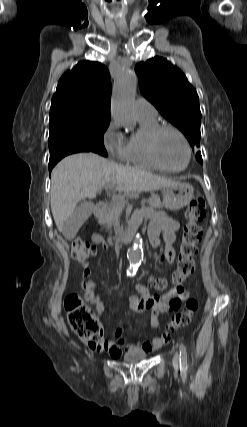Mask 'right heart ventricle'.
<instances>
[{"label":"right heart ventricle","mask_w":247,"mask_h":427,"mask_svg":"<svg viewBox=\"0 0 247 427\" xmlns=\"http://www.w3.org/2000/svg\"><path fill=\"white\" fill-rule=\"evenodd\" d=\"M139 130L126 140L124 161L147 169L158 170L147 148V139L151 131L159 124L155 118H138Z\"/></svg>","instance_id":"e07e8e85"}]
</instances>
